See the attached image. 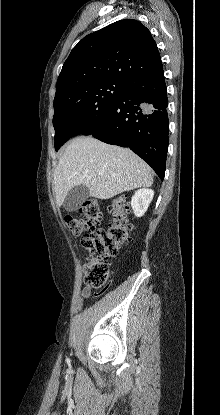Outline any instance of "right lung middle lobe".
I'll list each match as a JSON object with an SVG mask.
<instances>
[{
  "instance_id": "1",
  "label": "right lung middle lobe",
  "mask_w": 220,
  "mask_h": 415,
  "mask_svg": "<svg viewBox=\"0 0 220 415\" xmlns=\"http://www.w3.org/2000/svg\"><path fill=\"white\" fill-rule=\"evenodd\" d=\"M128 83L118 80L84 82L55 95L53 126L56 151L71 137L91 135L104 124Z\"/></svg>"
}]
</instances>
